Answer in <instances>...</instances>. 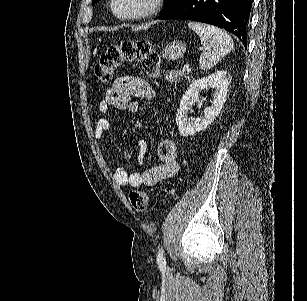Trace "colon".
I'll use <instances>...</instances> for the list:
<instances>
[{
	"label": "colon",
	"mask_w": 307,
	"mask_h": 301,
	"mask_svg": "<svg viewBox=\"0 0 307 301\" xmlns=\"http://www.w3.org/2000/svg\"><path fill=\"white\" fill-rule=\"evenodd\" d=\"M139 61L144 71L151 77L160 75V59L158 53L147 40H125L109 45L100 55L94 73L98 80L108 82L114 70L125 62ZM173 188L169 194H176ZM129 200L136 211H145L149 206L148 194L141 189H134L129 193Z\"/></svg>",
	"instance_id": "1"
}]
</instances>
